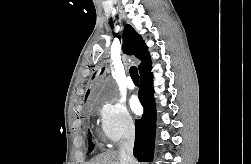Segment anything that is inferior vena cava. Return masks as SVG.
<instances>
[{
    "instance_id": "602c4592",
    "label": "inferior vena cava",
    "mask_w": 251,
    "mask_h": 164,
    "mask_svg": "<svg viewBox=\"0 0 251 164\" xmlns=\"http://www.w3.org/2000/svg\"><path fill=\"white\" fill-rule=\"evenodd\" d=\"M135 140V127L130 123L126 129L123 140L121 141L119 153L122 164H136L133 157V147Z\"/></svg>"
}]
</instances>
